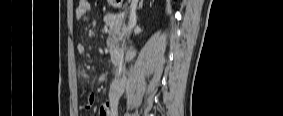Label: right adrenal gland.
Here are the masks:
<instances>
[{
  "instance_id": "obj_1",
  "label": "right adrenal gland",
  "mask_w": 283,
  "mask_h": 116,
  "mask_svg": "<svg viewBox=\"0 0 283 116\" xmlns=\"http://www.w3.org/2000/svg\"><path fill=\"white\" fill-rule=\"evenodd\" d=\"M142 6H143V0L140 1L138 9H142Z\"/></svg>"
}]
</instances>
